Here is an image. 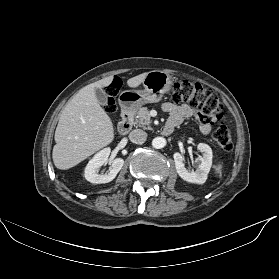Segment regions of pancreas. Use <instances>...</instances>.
Returning <instances> with one entry per match:
<instances>
[{"mask_svg": "<svg viewBox=\"0 0 279 279\" xmlns=\"http://www.w3.org/2000/svg\"><path fill=\"white\" fill-rule=\"evenodd\" d=\"M134 124L137 127H143L144 129H150L151 124V116L146 107H142L137 112L136 120Z\"/></svg>", "mask_w": 279, "mask_h": 279, "instance_id": "pancreas-1", "label": "pancreas"}]
</instances>
